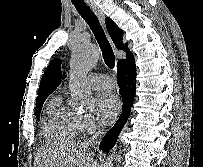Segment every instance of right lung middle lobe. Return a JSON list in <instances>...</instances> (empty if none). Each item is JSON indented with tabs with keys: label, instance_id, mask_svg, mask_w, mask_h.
Instances as JSON below:
<instances>
[{
	"label": "right lung middle lobe",
	"instance_id": "1",
	"mask_svg": "<svg viewBox=\"0 0 203 167\" xmlns=\"http://www.w3.org/2000/svg\"><path fill=\"white\" fill-rule=\"evenodd\" d=\"M44 101L45 100L36 103L35 111H36L37 120H39L40 112H41L42 105H43Z\"/></svg>",
	"mask_w": 203,
	"mask_h": 167
}]
</instances>
